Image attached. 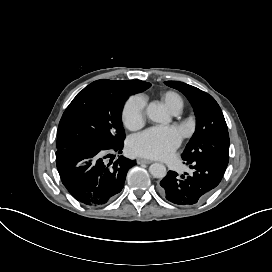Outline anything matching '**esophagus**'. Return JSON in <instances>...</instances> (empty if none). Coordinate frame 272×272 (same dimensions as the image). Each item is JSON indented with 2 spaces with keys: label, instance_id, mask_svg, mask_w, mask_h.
Wrapping results in <instances>:
<instances>
[{
  "label": "esophagus",
  "instance_id": "esophagus-1",
  "mask_svg": "<svg viewBox=\"0 0 272 272\" xmlns=\"http://www.w3.org/2000/svg\"><path fill=\"white\" fill-rule=\"evenodd\" d=\"M137 163L138 164H150V163H152V161L149 159L138 158Z\"/></svg>",
  "mask_w": 272,
  "mask_h": 272
}]
</instances>
